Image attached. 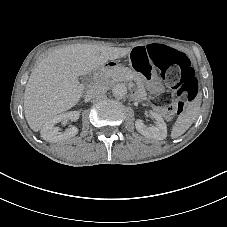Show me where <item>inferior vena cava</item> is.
I'll use <instances>...</instances> for the list:
<instances>
[{"mask_svg":"<svg viewBox=\"0 0 227 227\" xmlns=\"http://www.w3.org/2000/svg\"><path fill=\"white\" fill-rule=\"evenodd\" d=\"M90 93H91V97L99 98L106 93V90L102 86L97 85L96 87L90 90Z\"/></svg>","mask_w":227,"mask_h":227,"instance_id":"1","label":"inferior vena cava"}]
</instances>
